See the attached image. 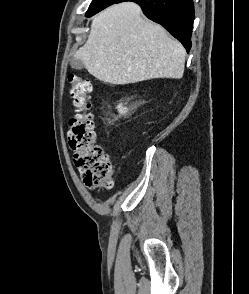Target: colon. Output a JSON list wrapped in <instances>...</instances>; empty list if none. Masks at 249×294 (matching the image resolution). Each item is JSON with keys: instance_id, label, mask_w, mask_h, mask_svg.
<instances>
[{"instance_id": "5ec220e1", "label": "colon", "mask_w": 249, "mask_h": 294, "mask_svg": "<svg viewBox=\"0 0 249 294\" xmlns=\"http://www.w3.org/2000/svg\"><path fill=\"white\" fill-rule=\"evenodd\" d=\"M70 94L74 103V115L70 120L68 140L74 151V163L90 188H111L114 167L109 156L96 144L91 113L92 85L82 76L69 74Z\"/></svg>"}]
</instances>
